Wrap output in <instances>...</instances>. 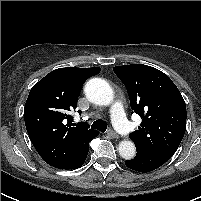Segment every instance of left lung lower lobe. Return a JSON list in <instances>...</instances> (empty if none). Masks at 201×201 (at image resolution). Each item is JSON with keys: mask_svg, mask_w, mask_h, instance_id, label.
<instances>
[{"mask_svg": "<svg viewBox=\"0 0 201 201\" xmlns=\"http://www.w3.org/2000/svg\"><path fill=\"white\" fill-rule=\"evenodd\" d=\"M173 154V152H137L136 157L126 160L125 164L138 172H150L163 165Z\"/></svg>", "mask_w": 201, "mask_h": 201, "instance_id": "left-lung-lower-lobe-1", "label": "left lung lower lobe"}]
</instances>
